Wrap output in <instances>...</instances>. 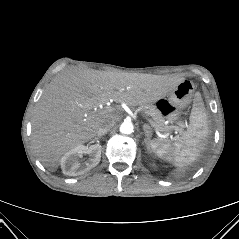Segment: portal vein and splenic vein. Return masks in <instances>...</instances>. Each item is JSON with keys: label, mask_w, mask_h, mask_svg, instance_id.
Returning <instances> with one entry per match:
<instances>
[{"label": "portal vein and splenic vein", "mask_w": 239, "mask_h": 239, "mask_svg": "<svg viewBox=\"0 0 239 239\" xmlns=\"http://www.w3.org/2000/svg\"><path fill=\"white\" fill-rule=\"evenodd\" d=\"M149 122L151 123V125H152L153 127H155V125L153 124L152 121H149ZM176 130L181 131V129H179V128H176Z\"/></svg>", "instance_id": "portal-vein-and-splenic-vein-1"}]
</instances>
